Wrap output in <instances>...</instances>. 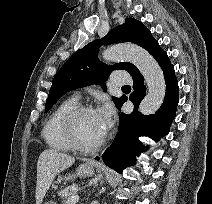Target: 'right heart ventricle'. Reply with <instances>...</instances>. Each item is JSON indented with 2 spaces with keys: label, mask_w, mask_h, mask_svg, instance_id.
<instances>
[{
  "label": "right heart ventricle",
  "mask_w": 212,
  "mask_h": 204,
  "mask_svg": "<svg viewBox=\"0 0 212 204\" xmlns=\"http://www.w3.org/2000/svg\"><path fill=\"white\" fill-rule=\"evenodd\" d=\"M78 105L79 103L76 98H68L62 101L50 114L43 127L42 136L51 149L59 152L71 150L62 134L61 123L64 116Z\"/></svg>",
  "instance_id": "obj_1"
}]
</instances>
